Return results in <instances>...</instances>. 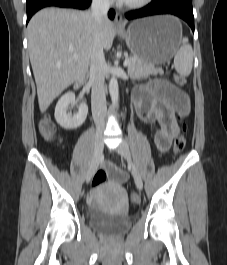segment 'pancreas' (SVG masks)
Here are the masks:
<instances>
[{"mask_svg":"<svg viewBox=\"0 0 227 265\" xmlns=\"http://www.w3.org/2000/svg\"><path fill=\"white\" fill-rule=\"evenodd\" d=\"M130 64L128 66V75L131 79H141L148 75H162L163 70L156 68L154 65L146 64L136 57L129 59Z\"/></svg>","mask_w":227,"mask_h":265,"instance_id":"pancreas-1","label":"pancreas"}]
</instances>
